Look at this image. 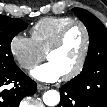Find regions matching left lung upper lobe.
<instances>
[{
  "mask_svg": "<svg viewBox=\"0 0 107 107\" xmlns=\"http://www.w3.org/2000/svg\"><path fill=\"white\" fill-rule=\"evenodd\" d=\"M73 12L85 24L89 32L90 46L82 72L71 81L85 84L86 88L87 81L96 73L104 71L107 76V29L90 12L81 8H74Z\"/></svg>",
  "mask_w": 107,
  "mask_h": 107,
  "instance_id": "left-lung-upper-lobe-1",
  "label": "left lung upper lobe"
}]
</instances>
